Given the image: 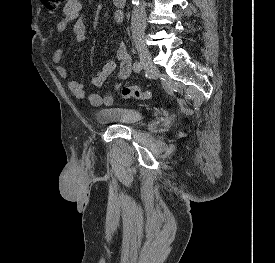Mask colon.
Returning <instances> with one entry per match:
<instances>
[{
	"label": "colon",
	"instance_id": "colon-1",
	"mask_svg": "<svg viewBox=\"0 0 275 263\" xmlns=\"http://www.w3.org/2000/svg\"><path fill=\"white\" fill-rule=\"evenodd\" d=\"M63 3L64 0H43L45 8L51 11L57 10ZM152 95V91L143 90L136 85H127L120 89V96L125 99L145 100L152 98Z\"/></svg>",
	"mask_w": 275,
	"mask_h": 263
}]
</instances>
